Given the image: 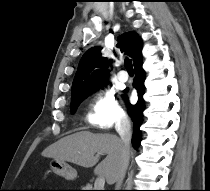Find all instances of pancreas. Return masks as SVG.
<instances>
[{
    "instance_id": "pancreas-1",
    "label": "pancreas",
    "mask_w": 210,
    "mask_h": 191,
    "mask_svg": "<svg viewBox=\"0 0 210 191\" xmlns=\"http://www.w3.org/2000/svg\"><path fill=\"white\" fill-rule=\"evenodd\" d=\"M84 189H92V187L90 185H88L87 188H84Z\"/></svg>"
}]
</instances>
